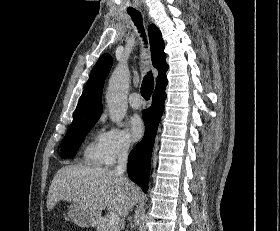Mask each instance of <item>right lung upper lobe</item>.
<instances>
[{"mask_svg": "<svg viewBox=\"0 0 280 231\" xmlns=\"http://www.w3.org/2000/svg\"><path fill=\"white\" fill-rule=\"evenodd\" d=\"M150 51L153 66L158 70L155 91L164 89L168 83L166 72V54L161 32L155 25L148 28ZM113 60L109 54H103L93 67L89 80L76 107L71 126L88 121L98 120L102 113L101 93L105 78L107 77Z\"/></svg>", "mask_w": 280, "mask_h": 231, "instance_id": "obj_1", "label": "right lung upper lobe"}]
</instances>
